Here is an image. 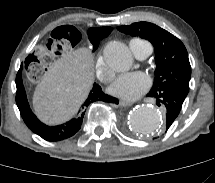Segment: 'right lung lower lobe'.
I'll use <instances>...</instances> for the list:
<instances>
[{
    "label": "right lung lower lobe",
    "mask_w": 215,
    "mask_h": 183,
    "mask_svg": "<svg viewBox=\"0 0 215 183\" xmlns=\"http://www.w3.org/2000/svg\"><path fill=\"white\" fill-rule=\"evenodd\" d=\"M16 87V103L24 122L34 133L47 141H59L73 136L81 128L86 108L91 103L95 101H103L118 104L116 98L103 93L101 87L95 83L88 98L84 102L82 109L72 120L62 125L50 127L39 121L29 107L22 82V68H20L16 76Z\"/></svg>",
    "instance_id": "98d812e1"
}]
</instances>
